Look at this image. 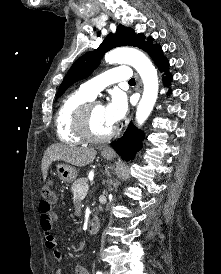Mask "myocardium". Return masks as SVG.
<instances>
[{"mask_svg": "<svg viewBox=\"0 0 221 274\" xmlns=\"http://www.w3.org/2000/svg\"><path fill=\"white\" fill-rule=\"evenodd\" d=\"M97 105H102L98 100H91L81 105L75 114V128L77 133L86 141L100 143L111 139L114 130L106 134H96L91 127V112Z\"/></svg>", "mask_w": 221, "mask_h": 274, "instance_id": "myocardium-1", "label": "myocardium"}]
</instances>
